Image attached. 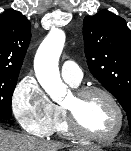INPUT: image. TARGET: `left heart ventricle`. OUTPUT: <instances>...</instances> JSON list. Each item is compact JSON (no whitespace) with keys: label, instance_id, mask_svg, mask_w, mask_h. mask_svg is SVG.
<instances>
[{"label":"left heart ventricle","instance_id":"left-heart-ventricle-1","mask_svg":"<svg viewBox=\"0 0 131 151\" xmlns=\"http://www.w3.org/2000/svg\"><path fill=\"white\" fill-rule=\"evenodd\" d=\"M64 105L76 107L82 127L91 134L109 136L118 125L113 105L102 95H92L80 105L75 104L71 95Z\"/></svg>","mask_w":131,"mask_h":151}]
</instances>
